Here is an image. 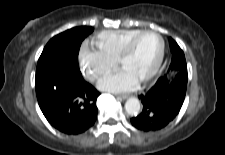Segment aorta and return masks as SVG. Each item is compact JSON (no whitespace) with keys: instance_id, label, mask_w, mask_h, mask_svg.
Returning <instances> with one entry per match:
<instances>
[{"instance_id":"762f6f07","label":"aorta","mask_w":225,"mask_h":155,"mask_svg":"<svg viewBox=\"0 0 225 155\" xmlns=\"http://www.w3.org/2000/svg\"><path fill=\"white\" fill-rule=\"evenodd\" d=\"M140 108V101L137 98H129L125 103V110L131 116H137Z\"/></svg>"}]
</instances>
